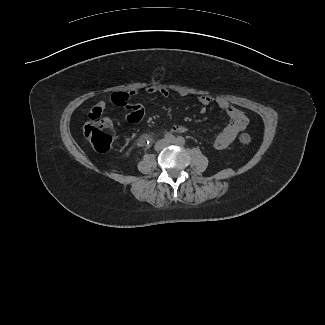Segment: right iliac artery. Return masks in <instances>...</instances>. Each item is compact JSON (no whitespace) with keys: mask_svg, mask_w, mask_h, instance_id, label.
<instances>
[{"mask_svg":"<svg viewBox=\"0 0 325 325\" xmlns=\"http://www.w3.org/2000/svg\"><path fill=\"white\" fill-rule=\"evenodd\" d=\"M164 138L169 142H174L175 141V137L171 133H166L164 135Z\"/></svg>","mask_w":325,"mask_h":325,"instance_id":"obj_1","label":"right iliac artery"}]
</instances>
